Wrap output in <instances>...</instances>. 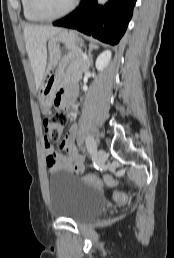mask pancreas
<instances>
[{
    "instance_id": "pancreas-1",
    "label": "pancreas",
    "mask_w": 174,
    "mask_h": 258,
    "mask_svg": "<svg viewBox=\"0 0 174 258\" xmlns=\"http://www.w3.org/2000/svg\"><path fill=\"white\" fill-rule=\"evenodd\" d=\"M88 67V60L83 59L80 55L79 57L69 62L65 71V79H80L82 77V74L88 70Z\"/></svg>"
}]
</instances>
